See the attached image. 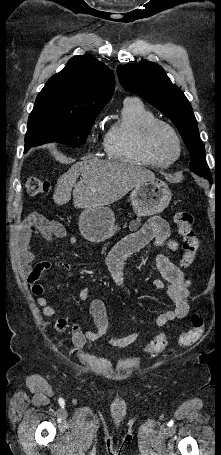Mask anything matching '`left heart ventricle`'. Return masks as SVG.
<instances>
[{"label": "left heart ventricle", "mask_w": 221, "mask_h": 455, "mask_svg": "<svg viewBox=\"0 0 221 455\" xmlns=\"http://www.w3.org/2000/svg\"><path fill=\"white\" fill-rule=\"evenodd\" d=\"M159 147L169 156H175L177 152L176 144L172 137L163 130H160L157 135Z\"/></svg>", "instance_id": "b2bd125f"}]
</instances>
